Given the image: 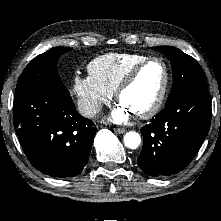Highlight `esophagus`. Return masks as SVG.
I'll use <instances>...</instances> for the list:
<instances>
[{"instance_id": "34e87169", "label": "esophagus", "mask_w": 221, "mask_h": 221, "mask_svg": "<svg viewBox=\"0 0 221 221\" xmlns=\"http://www.w3.org/2000/svg\"><path fill=\"white\" fill-rule=\"evenodd\" d=\"M114 131H115L116 133L121 134V133H124L126 130H125L124 128H114Z\"/></svg>"}]
</instances>
